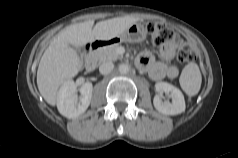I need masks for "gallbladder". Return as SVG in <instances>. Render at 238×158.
Wrapping results in <instances>:
<instances>
[{"label": "gallbladder", "instance_id": "bac80fb5", "mask_svg": "<svg viewBox=\"0 0 238 158\" xmlns=\"http://www.w3.org/2000/svg\"><path fill=\"white\" fill-rule=\"evenodd\" d=\"M73 48L79 53L80 56L83 54V50L81 48L75 46H73Z\"/></svg>", "mask_w": 238, "mask_h": 158}]
</instances>
